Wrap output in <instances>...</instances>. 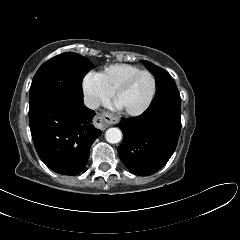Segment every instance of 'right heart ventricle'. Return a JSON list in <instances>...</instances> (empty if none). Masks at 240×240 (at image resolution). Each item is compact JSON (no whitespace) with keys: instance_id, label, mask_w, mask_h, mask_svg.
Segmentation results:
<instances>
[{"instance_id":"1","label":"right heart ventricle","mask_w":240,"mask_h":240,"mask_svg":"<svg viewBox=\"0 0 240 240\" xmlns=\"http://www.w3.org/2000/svg\"><path fill=\"white\" fill-rule=\"evenodd\" d=\"M141 70L139 66L132 64H115L105 67L97 75L101 82L114 93L130 76Z\"/></svg>"}]
</instances>
